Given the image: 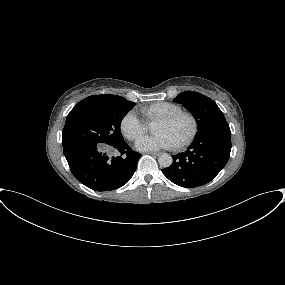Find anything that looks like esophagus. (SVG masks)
<instances>
[{"label":"esophagus","mask_w":285,"mask_h":285,"mask_svg":"<svg viewBox=\"0 0 285 285\" xmlns=\"http://www.w3.org/2000/svg\"><path fill=\"white\" fill-rule=\"evenodd\" d=\"M147 154L153 155V156H158L160 153L159 152H147Z\"/></svg>","instance_id":"obj_1"}]
</instances>
